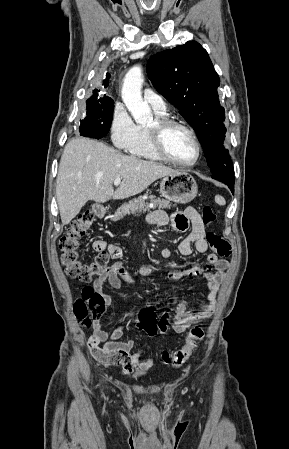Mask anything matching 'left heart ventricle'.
Here are the masks:
<instances>
[{
    "instance_id": "1",
    "label": "left heart ventricle",
    "mask_w": 289,
    "mask_h": 449,
    "mask_svg": "<svg viewBox=\"0 0 289 449\" xmlns=\"http://www.w3.org/2000/svg\"><path fill=\"white\" fill-rule=\"evenodd\" d=\"M153 124L151 126H153ZM165 142L169 154L174 159L189 163L196 158V146L185 130L181 128H172L167 132Z\"/></svg>"
}]
</instances>
